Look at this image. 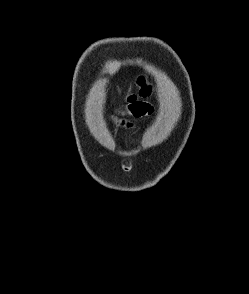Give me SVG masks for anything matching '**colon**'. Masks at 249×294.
<instances>
[{"label": "colon", "instance_id": "obj_1", "mask_svg": "<svg viewBox=\"0 0 249 294\" xmlns=\"http://www.w3.org/2000/svg\"><path fill=\"white\" fill-rule=\"evenodd\" d=\"M138 84L140 86L139 96L142 98H146L150 95L151 90L149 86L146 84L144 78H140L138 81ZM137 98V95L130 96V100H135Z\"/></svg>", "mask_w": 249, "mask_h": 294}]
</instances>
